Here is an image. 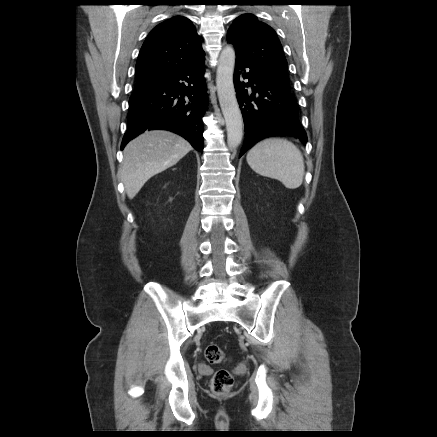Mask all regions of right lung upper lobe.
<instances>
[{"instance_id":"right-lung-upper-lobe-1","label":"right lung upper lobe","mask_w":437,"mask_h":437,"mask_svg":"<svg viewBox=\"0 0 437 437\" xmlns=\"http://www.w3.org/2000/svg\"><path fill=\"white\" fill-rule=\"evenodd\" d=\"M192 22L175 16L157 25L145 40L136 63V81L154 82L204 58Z\"/></svg>"}]
</instances>
